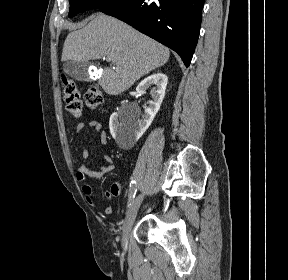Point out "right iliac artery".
Segmentation results:
<instances>
[{
  "label": "right iliac artery",
  "instance_id": "obj_1",
  "mask_svg": "<svg viewBox=\"0 0 288 280\" xmlns=\"http://www.w3.org/2000/svg\"><path fill=\"white\" fill-rule=\"evenodd\" d=\"M136 192H137L136 182L131 181L130 188H129V195H128V205H127L128 207L131 206V204L135 198Z\"/></svg>",
  "mask_w": 288,
  "mask_h": 280
}]
</instances>
